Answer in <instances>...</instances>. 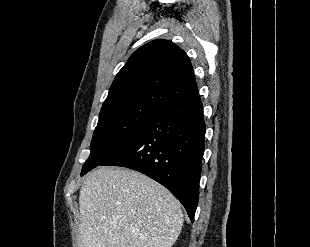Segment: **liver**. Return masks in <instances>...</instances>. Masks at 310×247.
<instances>
[{"instance_id": "obj_1", "label": "liver", "mask_w": 310, "mask_h": 247, "mask_svg": "<svg viewBox=\"0 0 310 247\" xmlns=\"http://www.w3.org/2000/svg\"><path fill=\"white\" fill-rule=\"evenodd\" d=\"M79 247H172L182 226L180 202L146 175L101 167L79 196Z\"/></svg>"}]
</instances>
